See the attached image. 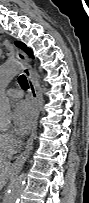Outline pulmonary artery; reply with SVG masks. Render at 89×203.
<instances>
[{"instance_id":"pulmonary-artery-1","label":"pulmonary artery","mask_w":89,"mask_h":203,"mask_svg":"<svg viewBox=\"0 0 89 203\" xmlns=\"http://www.w3.org/2000/svg\"><path fill=\"white\" fill-rule=\"evenodd\" d=\"M6 94L10 98L18 99V98L22 97L23 92L21 90H19V89L11 88V89L7 90Z\"/></svg>"}]
</instances>
